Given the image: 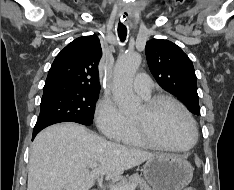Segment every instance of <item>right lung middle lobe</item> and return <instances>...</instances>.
Listing matches in <instances>:
<instances>
[{"instance_id": "obj_1", "label": "right lung middle lobe", "mask_w": 234, "mask_h": 190, "mask_svg": "<svg viewBox=\"0 0 234 190\" xmlns=\"http://www.w3.org/2000/svg\"><path fill=\"white\" fill-rule=\"evenodd\" d=\"M98 94L99 91L44 87L34 131L59 122L91 125Z\"/></svg>"}]
</instances>
